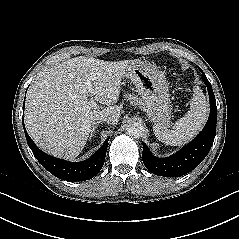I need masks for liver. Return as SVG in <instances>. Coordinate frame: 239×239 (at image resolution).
<instances>
[{"label": "liver", "mask_w": 239, "mask_h": 239, "mask_svg": "<svg viewBox=\"0 0 239 239\" xmlns=\"http://www.w3.org/2000/svg\"><path fill=\"white\" fill-rule=\"evenodd\" d=\"M131 62L79 56L38 73L27 92L24 116L34 142L48 154L75 159L86 145L96 116L112 117V125L119 121L115 103ZM86 83L92 85V93ZM89 96L108 107H92Z\"/></svg>", "instance_id": "liver-1"}]
</instances>
